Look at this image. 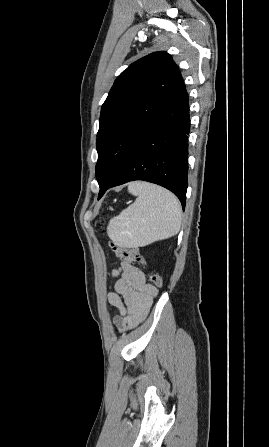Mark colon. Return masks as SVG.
<instances>
[{"label":"colon","instance_id":"5ec220e1","mask_svg":"<svg viewBox=\"0 0 269 447\" xmlns=\"http://www.w3.org/2000/svg\"><path fill=\"white\" fill-rule=\"evenodd\" d=\"M105 221L106 218L103 216L102 223L104 224ZM111 249L112 252L123 261L132 263L136 266L144 265L143 255L138 249L120 247L113 242H111ZM149 280L154 287L160 288L162 286V278L158 274L150 273Z\"/></svg>","mask_w":269,"mask_h":447}]
</instances>
